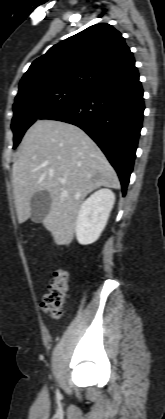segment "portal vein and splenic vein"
<instances>
[{
	"label": "portal vein and splenic vein",
	"instance_id": "portal-vein-and-splenic-vein-1",
	"mask_svg": "<svg viewBox=\"0 0 165 419\" xmlns=\"http://www.w3.org/2000/svg\"><path fill=\"white\" fill-rule=\"evenodd\" d=\"M60 183H61V184H65V183H66V180H65V179H61V180H60Z\"/></svg>",
	"mask_w": 165,
	"mask_h": 419
}]
</instances>
